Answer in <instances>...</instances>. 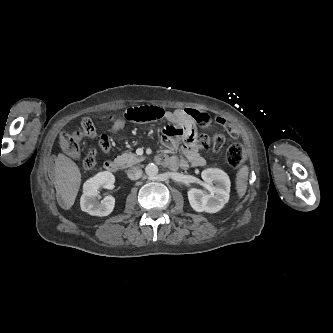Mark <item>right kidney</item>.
I'll list each match as a JSON object with an SVG mask.
<instances>
[{
  "label": "right kidney",
  "mask_w": 333,
  "mask_h": 333,
  "mask_svg": "<svg viewBox=\"0 0 333 333\" xmlns=\"http://www.w3.org/2000/svg\"><path fill=\"white\" fill-rule=\"evenodd\" d=\"M115 182L112 173L104 171L88 179L83 184V194L80 199L82 211L93 216H107L115 206V199L112 196H106L101 202L98 201L99 189H111Z\"/></svg>",
  "instance_id": "ca27d5eb"
}]
</instances>
